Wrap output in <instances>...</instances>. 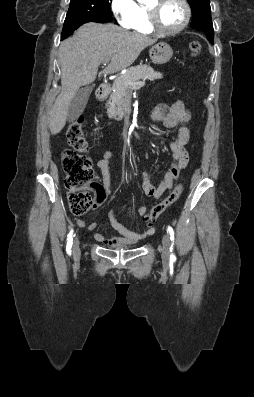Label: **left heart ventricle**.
Wrapping results in <instances>:
<instances>
[{"label": "left heart ventricle", "mask_w": 254, "mask_h": 397, "mask_svg": "<svg viewBox=\"0 0 254 397\" xmlns=\"http://www.w3.org/2000/svg\"><path fill=\"white\" fill-rule=\"evenodd\" d=\"M149 6L156 9L158 23L165 29L178 27L184 18V8L177 0H153Z\"/></svg>", "instance_id": "1"}]
</instances>
